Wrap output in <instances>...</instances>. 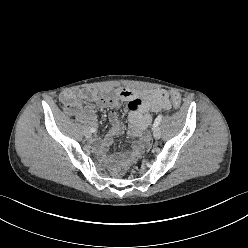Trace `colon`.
I'll list each match as a JSON object with an SVG mask.
<instances>
[{
	"label": "colon",
	"instance_id": "colon-1",
	"mask_svg": "<svg viewBox=\"0 0 248 248\" xmlns=\"http://www.w3.org/2000/svg\"><path fill=\"white\" fill-rule=\"evenodd\" d=\"M164 95L171 101L173 107L178 109L181 105V97L177 92L164 91Z\"/></svg>",
	"mask_w": 248,
	"mask_h": 248
}]
</instances>
